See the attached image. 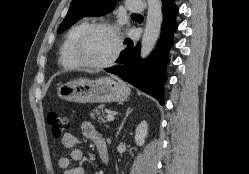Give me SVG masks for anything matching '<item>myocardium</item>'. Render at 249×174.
<instances>
[{
    "mask_svg": "<svg viewBox=\"0 0 249 174\" xmlns=\"http://www.w3.org/2000/svg\"><path fill=\"white\" fill-rule=\"evenodd\" d=\"M97 29H104V30L111 32L115 37L116 48L112 56L107 61L103 63L93 64V63L87 62L82 57L81 48L86 37L92 31L97 30ZM121 51H122V40H121L119 31L113 24H110L107 22H97V23L88 24L77 37L74 43V47H73L74 57L76 61L78 62V64L80 65V67L91 69V70H101V69H105V68L112 66L117 61Z\"/></svg>",
    "mask_w": 249,
    "mask_h": 174,
    "instance_id": "obj_1",
    "label": "myocardium"
}]
</instances>
